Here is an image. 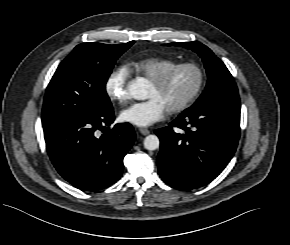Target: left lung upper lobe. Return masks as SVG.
I'll return each instance as SVG.
<instances>
[{
  "label": "left lung upper lobe",
  "instance_id": "1",
  "mask_svg": "<svg viewBox=\"0 0 290 245\" xmlns=\"http://www.w3.org/2000/svg\"><path fill=\"white\" fill-rule=\"evenodd\" d=\"M165 45L190 49L196 52L204 62L208 75L207 85L205 91L190 108L209 104L240 108L237 86L231 73L224 63L218 59L207 46L198 42L169 43Z\"/></svg>",
  "mask_w": 290,
  "mask_h": 245
}]
</instances>
